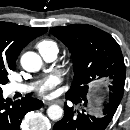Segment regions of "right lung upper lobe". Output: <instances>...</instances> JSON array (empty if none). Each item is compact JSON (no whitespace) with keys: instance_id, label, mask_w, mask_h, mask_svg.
<instances>
[{"instance_id":"right-lung-upper-lobe-1","label":"right lung upper lobe","mask_w":130,"mask_h":130,"mask_svg":"<svg viewBox=\"0 0 130 130\" xmlns=\"http://www.w3.org/2000/svg\"><path fill=\"white\" fill-rule=\"evenodd\" d=\"M47 30L46 27L31 28L9 22H0V63L15 68L16 59L22 49Z\"/></svg>"}]
</instances>
